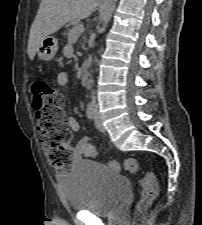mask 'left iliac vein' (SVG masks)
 <instances>
[{
    "instance_id": "4c4485c4",
    "label": "left iliac vein",
    "mask_w": 202,
    "mask_h": 225,
    "mask_svg": "<svg viewBox=\"0 0 202 225\" xmlns=\"http://www.w3.org/2000/svg\"><path fill=\"white\" fill-rule=\"evenodd\" d=\"M94 110H95V118H94V123H95V126L96 128L99 130V131H102L104 132L105 131V127L102 123V120L100 118V115H99V112L97 110V107L94 106Z\"/></svg>"
}]
</instances>
